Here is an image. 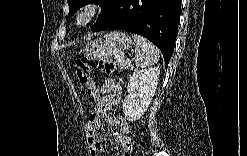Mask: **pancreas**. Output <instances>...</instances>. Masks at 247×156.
<instances>
[{"mask_svg":"<svg viewBox=\"0 0 247 156\" xmlns=\"http://www.w3.org/2000/svg\"><path fill=\"white\" fill-rule=\"evenodd\" d=\"M117 63H118L120 68H122V69L123 68H127L126 67V59L125 58L118 59Z\"/></svg>","mask_w":247,"mask_h":156,"instance_id":"1","label":"pancreas"}]
</instances>
